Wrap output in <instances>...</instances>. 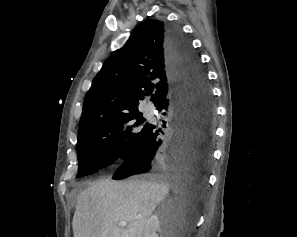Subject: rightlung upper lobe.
I'll return each mask as SVG.
<instances>
[{"label":"right lung upper lobe","instance_id":"right-lung-upper-lobe-1","mask_svg":"<svg viewBox=\"0 0 297 237\" xmlns=\"http://www.w3.org/2000/svg\"><path fill=\"white\" fill-rule=\"evenodd\" d=\"M167 24L150 19L139 24L123 48L114 51L86 94L78 135L112 116L139 112L143 96L155 106L171 94L173 79L166 48Z\"/></svg>","mask_w":297,"mask_h":237}]
</instances>
